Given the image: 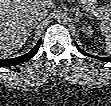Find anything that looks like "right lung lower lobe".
Masks as SVG:
<instances>
[{"label": "right lung lower lobe", "instance_id": "right-lung-lower-lobe-1", "mask_svg": "<svg viewBox=\"0 0 111 106\" xmlns=\"http://www.w3.org/2000/svg\"><path fill=\"white\" fill-rule=\"evenodd\" d=\"M40 43H41V39L37 42V44L31 51H29L28 53L22 56L11 58V59L0 60V67H10L29 60L35 55V53L39 49Z\"/></svg>", "mask_w": 111, "mask_h": 106}]
</instances>
